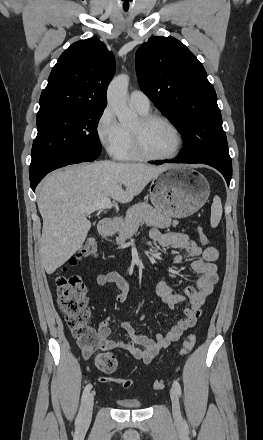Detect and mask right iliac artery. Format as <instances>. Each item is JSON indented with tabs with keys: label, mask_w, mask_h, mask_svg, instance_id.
<instances>
[{
	"label": "right iliac artery",
	"mask_w": 263,
	"mask_h": 440,
	"mask_svg": "<svg viewBox=\"0 0 263 440\" xmlns=\"http://www.w3.org/2000/svg\"><path fill=\"white\" fill-rule=\"evenodd\" d=\"M91 388H92V385H91V384H88V385L84 388V391H83V394H82V400H81L80 411H79V413H78V415H77V418H76V425H77V426H79V425L81 424V416H82V408H83V404H84V402L86 401V399H87V397H88V395H89V393H90Z\"/></svg>",
	"instance_id": "1"
}]
</instances>
